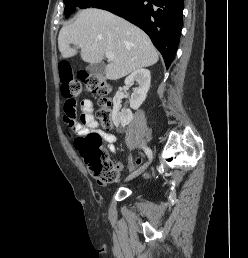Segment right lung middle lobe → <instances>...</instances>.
I'll use <instances>...</instances> for the list:
<instances>
[{"mask_svg":"<svg viewBox=\"0 0 248 258\" xmlns=\"http://www.w3.org/2000/svg\"><path fill=\"white\" fill-rule=\"evenodd\" d=\"M107 0H64L65 3V16L68 18L77 9H85L95 7L96 5Z\"/></svg>","mask_w":248,"mask_h":258,"instance_id":"1","label":"right lung middle lobe"}]
</instances>
